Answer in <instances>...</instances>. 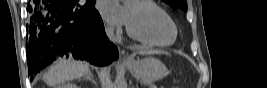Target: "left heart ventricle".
<instances>
[{
    "label": "left heart ventricle",
    "instance_id": "obj_1",
    "mask_svg": "<svg viewBox=\"0 0 267 88\" xmlns=\"http://www.w3.org/2000/svg\"><path fill=\"white\" fill-rule=\"evenodd\" d=\"M128 26L134 32L159 42H171L175 31L170 20L147 6L130 3Z\"/></svg>",
    "mask_w": 267,
    "mask_h": 88
}]
</instances>
